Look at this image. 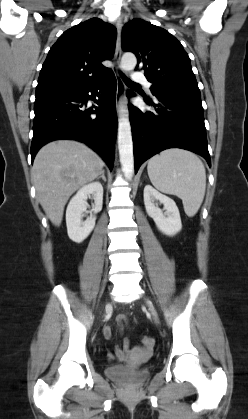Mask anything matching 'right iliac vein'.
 I'll return each instance as SVG.
<instances>
[{"label":"right iliac vein","mask_w":248,"mask_h":419,"mask_svg":"<svg viewBox=\"0 0 248 419\" xmlns=\"http://www.w3.org/2000/svg\"><path fill=\"white\" fill-rule=\"evenodd\" d=\"M110 307H111V305L110 304H107L106 309H109Z\"/></svg>","instance_id":"obj_1"}]
</instances>
